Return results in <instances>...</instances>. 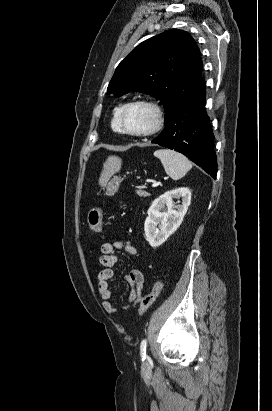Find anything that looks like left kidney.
<instances>
[{"mask_svg":"<svg viewBox=\"0 0 272 411\" xmlns=\"http://www.w3.org/2000/svg\"><path fill=\"white\" fill-rule=\"evenodd\" d=\"M174 198H181L182 204L175 206ZM190 203L187 187L167 191L153 201L144 223L145 237L152 247L162 245L179 228Z\"/></svg>","mask_w":272,"mask_h":411,"instance_id":"obj_1","label":"left kidney"}]
</instances>
